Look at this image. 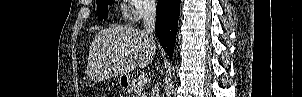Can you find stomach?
<instances>
[{
    "label": "stomach",
    "instance_id": "1",
    "mask_svg": "<svg viewBox=\"0 0 302 97\" xmlns=\"http://www.w3.org/2000/svg\"><path fill=\"white\" fill-rule=\"evenodd\" d=\"M128 81L129 77L127 75L118 76L116 79V82L123 88L127 86Z\"/></svg>",
    "mask_w": 302,
    "mask_h": 97
}]
</instances>
